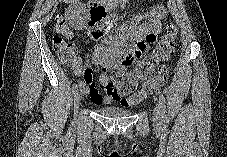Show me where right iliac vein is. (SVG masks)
<instances>
[{"instance_id":"right-iliac-vein-1","label":"right iliac vein","mask_w":227,"mask_h":157,"mask_svg":"<svg viewBox=\"0 0 227 157\" xmlns=\"http://www.w3.org/2000/svg\"><path fill=\"white\" fill-rule=\"evenodd\" d=\"M81 102V95L79 94V92H75L74 93V109L77 112L79 105Z\"/></svg>"}]
</instances>
